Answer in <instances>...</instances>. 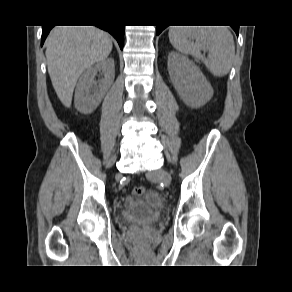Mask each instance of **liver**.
Instances as JSON below:
<instances>
[{
	"label": "liver",
	"instance_id": "1",
	"mask_svg": "<svg viewBox=\"0 0 292 292\" xmlns=\"http://www.w3.org/2000/svg\"><path fill=\"white\" fill-rule=\"evenodd\" d=\"M112 50L110 35L94 26H57L46 40L48 73L65 107H70L80 75Z\"/></svg>",
	"mask_w": 292,
	"mask_h": 292
}]
</instances>
